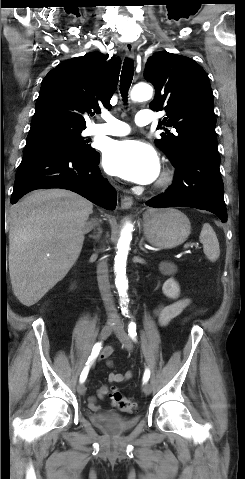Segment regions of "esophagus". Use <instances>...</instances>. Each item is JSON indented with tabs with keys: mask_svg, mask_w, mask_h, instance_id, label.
I'll return each mask as SVG.
<instances>
[{
	"mask_svg": "<svg viewBox=\"0 0 245 479\" xmlns=\"http://www.w3.org/2000/svg\"><path fill=\"white\" fill-rule=\"evenodd\" d=\"M125 52L128 58L134 59L135 52L134 46L132 43H126L125 45ZM133 205V199L128 195H123L121 197V208L122 209H129Z\"/></svg>",
	"mask_w": 245,
	"mask_h": 479,
	"instance_id": "34e87169",
	"label": "esophagus"
}]
</instances>
